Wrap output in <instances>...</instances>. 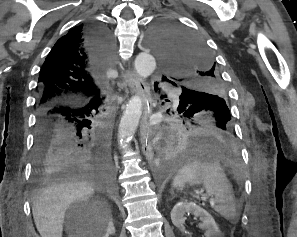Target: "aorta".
<instances>
[{
    "mask_svg": "<svg viewBox=\"0 0 297 237\" xmlns=\"http://www.w3.org/2000/svg\"><path fill=\"white\" fill-rule=\"evenodd\" d=\"M148 43L153 45L150 39ZM134 66L137 74L145 79L154 72L156 61L150 53L142 52L135 58ZM142 106L143 102L140 95L133 96L127 104L119 126L118 139L120 148H124L126 138L131 137L135 133L142 114Z\"/></svg>",
    "mask_w": 297,
    "mask_h": 237,
    "instance_id": "obj_1",
    "label": "aorta"
}]
</instances>
